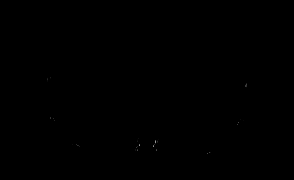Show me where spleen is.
<instances>
[{
	"label": "spleen",
	"mask_w": 294,
	"mask_h": 180,
	"mask_svg": "<svg viewBox=\"0 0 294 180\" xmlns=\"http://www.w3.org/2000/svg\"><path fill=\"white\" fill-rule=\"evenodd\" d=\"M218 138H219V135H216L215 138H214V140H213V138H212V140H211V139L208 140V142H206V144H203L202 146H203V147L210 146V145H212V143H214L215 141H217ZM202 146H201V147H202Z\"/></svg>",
	"instance_id": "3e777b00"
}]
</instances>
